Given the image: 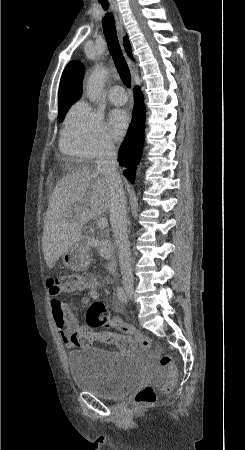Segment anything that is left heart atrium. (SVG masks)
<instances>
[{
    "label": "left heart atrium",
    "instance_id": "obj_1",
    "mask_svg": "<svg viewBox=\"0 0 245 450\" xmlns=\"http://www.w3.org/2000/svg\"><path fill=\"white\" fill-rule=\"evenodd\" d=\"M130 123L129 114L123 109H114L109 116V128L114 138L121 139Z\"/></svg>",
    "mask_w": 245,
    "mask_h": 450
}]
</instances>
